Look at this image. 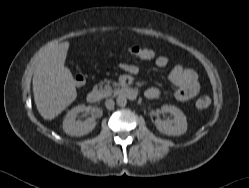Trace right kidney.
Listing matches in <instances>:
<instances>
[{
	"label": "right kidney",
	"instance_id": "ca27d5eb",
	"mask_svg": "<svg viewBox=\"0 0 249 188\" xmlns=\"http://www.w3.org/2000/svg\"><path fill=\"white\" fill-rule=\"evenodd\" d=\"M87 110V107L82 104L72 108L63 120V131L71 136H83L90 133L96 126V121L93 117H89L84 121L76 120V116Z\"/></svg>",
	"mask_w": 249,
	"mask_h": 188
}]
</instances>
